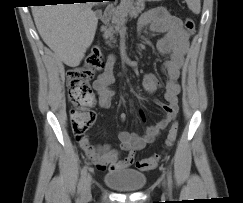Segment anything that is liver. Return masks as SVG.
<instances>
[{
	"instance_id": "obj_1",
	"label": "liver",
	"mask_w": 243,
	"mask_h": 203,
	"mask_svg": "<svg viewBox=\"0 0 243 203\" xmlns=\"http://www.w3.org/2000/svg\"><path fill=\"white\" fill-rule=\"evenodd\" d=\"M93 4L41 5L32 8L43 41L69 67H77L93 42L98 19Z\"/></svg>"
}]
</instances>
